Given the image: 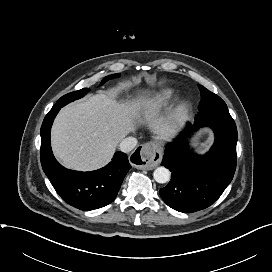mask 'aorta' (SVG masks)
Masks as SVG:
<instances>
[{"label":"aorta","mask_w":272,"mask_h":272,"mask_svg":"<svg viewBox=\"0 0 272 272\" xmlns=\"http://www.w3.org/2000/svg\"><path fill=\"white\" fill-rule=\"evenodd\" d=\"M153 177L158 183H166L170 179V171L165 167H158L155 169Z\"/></svg>","instance_id":"aorta-1"}]
</instances>
